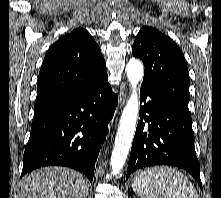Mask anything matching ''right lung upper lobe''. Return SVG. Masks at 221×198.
I'll list each match as a JSON object with an SVG mask.
<instances>
[{"instance_id": "obj_1", "label": "right lung upper lobe", "mask_w": 221, "mask_h": 198, "mask_svg": "<svg viewBox=\"0 0 221 198\" xmlns=\"http://www.w3.org/2000/svg\"><path fill=\"white\" fill-rule=\"evenodd\" d=\"M101 50L85 29H74L48 50L42 64L34 116L84 92L107 78Z\"/></svg>"}]
</instances>
